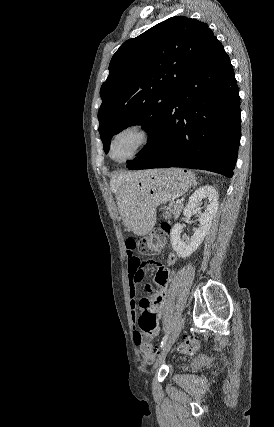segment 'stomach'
<instances>
[{
  "mask_svg": "<svg viewBox=\"0 0 274 427\" xmlns=\"http://www.w3.org/2000/svg\"><path fill=\"white\" fill-rule=\"evenodd\" d=\"M195 180L191 170L181 168L153 170L142 178L134 176L131 182L133 190H126L125 200L119 208L124 225L138 235H145L155 225L157 206L183 196ZM128 215L134 217L132 225L126 219Z\"/></svg>",
  "mask_w": 274,
  "mask_h": 427,
  "instance_id": "obj_1",
  "label": "stomach"
}]
</instances>
